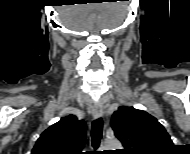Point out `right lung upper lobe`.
<instances>
[{
  "mask_svg": "<svg viewBox=\"0 0 190 154\" xmlns=\"http://www.w3.org/2000/svg\"><path fill=\"white\" fill-rule=\"evenodd\" d=\"M86 129L84 120L72 114L65 116L40 135L31 154H79Z\"/></svg>",
  "mask_w": 190,
  "mask_h": 154,
  "instance_id": "cb5924a9",
  "label": "right lung upper lobe"
}]
</instances>
